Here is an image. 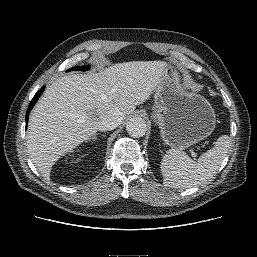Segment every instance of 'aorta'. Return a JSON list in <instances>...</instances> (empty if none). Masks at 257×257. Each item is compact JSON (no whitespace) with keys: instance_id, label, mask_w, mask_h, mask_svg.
Wrapping results in <instances>:
<instances>
[{"instance_id":"1","label":"aorta","mask_w":257,"mask_h":257,"mask_svg":"<svg viewBox=\"0 0 257 257\" xmlns=\"http://www.w3.org/2000/svg\"><path fill=\"white\" fill-rule=\"evenodd\" d=\"M126 130L130 136L138 138L145 135L147 125L143 118L134 116L127 122Z\"/></svg>"}]
</instances>
